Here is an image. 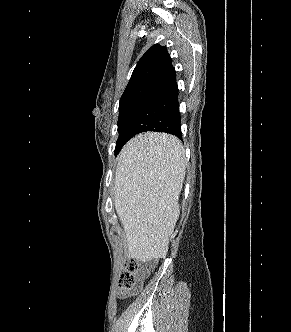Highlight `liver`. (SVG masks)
Wrapping results in <instances>:
<instances>
[{
  "mask_svg": "<svg viewBox=\"0 0 291 332\" xmlns=\"http://www.w3.org/2000/svg\"><path fill=\"white\" fill-rule=\"evenodd\" d=\"M186 159L175 136L146 132L122 148L115 172L114 204L123 225L128 257L165 258L180 210Z\"/></svg>",
  "mask_w": 291,
  "mask_h": 332,
  "instance_id": "liver-1",
  "label": "liver"
}]
</instances>
